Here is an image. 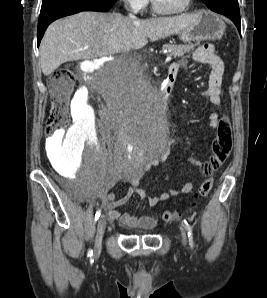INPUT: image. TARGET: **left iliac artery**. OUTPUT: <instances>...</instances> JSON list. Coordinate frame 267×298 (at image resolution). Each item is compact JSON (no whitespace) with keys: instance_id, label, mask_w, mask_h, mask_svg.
<instances>
[{"instance_id":"1","label":"left iliac artery","mask_w":267,"mask_h":298,"mask_svg":"<svg viewBox=\"0 0 267 298\" xmlns=\"http://www.w3.org/2000/svg\"><path fill=\"white\" fill-rule=\"evenodd\" d=\"M186 230L188 231L189 243L190 246L193 247V234H192V227L184 220Z\"/></svg>"}]
</instances>
